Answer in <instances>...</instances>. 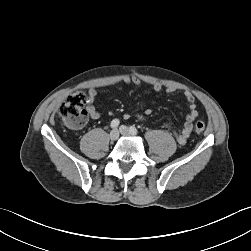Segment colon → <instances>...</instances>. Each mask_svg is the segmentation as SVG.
<instances>
[{"instance_id":"5ec220e1","label":"colon","mask_w":251,"mask_h":251,"mask_svg":"<svg viewBox=\"0 0 251 251\" xmlns=\"http://www.w3.org/2000/svg\"><path fill=\"white\" fill-rule=\"evenodd\" d=\"M88 100L83 91H76L70 94L62 103L59 109V116L65 124L71 128H81L87 122V110L85 104ZM205 124L202 121L195 123V131L198 134L205 132Z\"/></svg>"}]
</instances>
